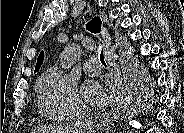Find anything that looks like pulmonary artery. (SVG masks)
I'll list each match as a JSON object with an SVG mask.
<instances>
[{
	"label": "pulmonary artery",
	"mask_w": 184,
	"mask_h": 133,
	"mask_svg": "<svg viewBox=\"0 0 184 133\" xmlns=\"http://www.w3.org/2000/svg\"><path fill=\"white\" fill-rule=\"evenodd\" d=\"M84 71L89 76H98L101 73V68L98 64V60L95 57L89 58L84 63Z\"/></svg>",
	"instance_id": "obj_1"
}]
</instances>
